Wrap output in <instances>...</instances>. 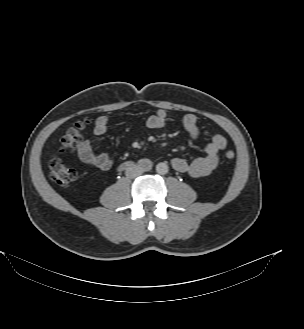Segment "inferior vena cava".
<instances>
[{
  "label": "inferior vena cava",
  "instance_id": "1",
  "mask_svg": "<svg viewBox=\"0 0 304 329\" xmlns=\"http://www.w3.org/2000/svg\"><path fill=\"white\" fill-rule=\"evenodd\" d=\"M143 171H144V169H142L141 167H139L137 165H131L126 169V176L129 178H134V177L142 174Z\"/></svg>",
  "mask_w": 304,
  "mask_h": 329
}]
</instances>
